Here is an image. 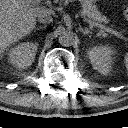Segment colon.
I'll return each mask as SVG.
<instances>
[{
	"label": "colon",
	"instance_id": "5ec220e1",
	"mask_svg": "<svg viewBox=\"0 0 128 128\" xmlns=\"http://www.w3.org/2000/svg\"><path fill=\"white\" fill-rule=\"evenodd\" d=\"M124 15H125L126 19L128 20V4L124 8Z\"/></svg>",
	"mask_w": 128,
	"mask_h": 128
}]
</instances>
